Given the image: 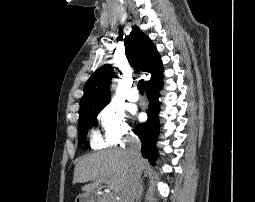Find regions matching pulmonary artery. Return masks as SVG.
Listing matches in <instances>:
<instances>
[{"label":"pulmonary artery","instance_id":"pulmonary-artery-1","mask_svg":"<svg viewBox=\"0 0 255 202\" xmlns=\"http://www.w3.org/2000/svg\"><path fill=\"white\" fill-rule=\"evenodd\" d=\"M127 99L131 102H136L139 99L138 92L135 87H133L127 94Z\"/></svg>","mask_w":255,"mask_h":202}]
</instances>
